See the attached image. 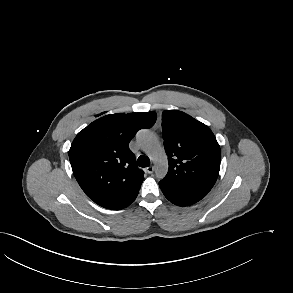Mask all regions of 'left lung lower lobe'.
Here are the masks:
<instances>
[{"label":"left lung lower lobe","mask_w":293,"mask_h":293,"mask_svg":"<svg viewBox=\"0 0 293 293\" xmlns=\"http://www.w3.org/2000/svg\"><path fill=\"white\" fill-rule=\"evenodd\" d=\"M159 186L165 197L178 206H188L194 204L206 196L192 191L171 187L162 181L159 182Z\"/></svg>","instance_id":"obj_1"}]
</instances>
